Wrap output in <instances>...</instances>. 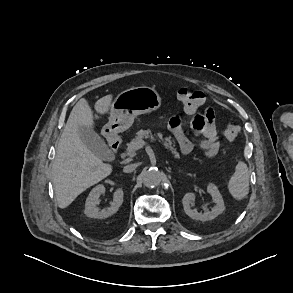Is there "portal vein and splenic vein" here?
<instances>
[{"label": "portal vein and splenic vein", "mask_w": 293, "mask_h": 293, "mask_svg": "<svg viewBox=\"0 0 293 293\" xmlns=\"http://www.w3.org/2000/svg\"><path fill=\"white\" fill-rule=\"evenodd\" d=\"M144 146H149V144H147L145 141H139L136 145V149H141Z\"/></svg>", "instance_id": "18ae733b"}]
</instances>
